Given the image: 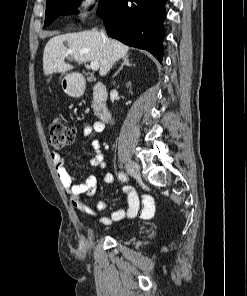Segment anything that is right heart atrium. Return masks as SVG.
<instances>
[{
	"label": "right heart atrium",
	"instance_id": "1",
	"mask_svg": "<svg viewBox=\"0 0 247 296\" xmlns=\"http://www.w3.org/2000/svg\"><path fill=\"white\" fill-rule=\"evenodd\" d=\"M98 0H75L73 16L79 20H85L96 10Z\"/></svg>",
	"mask_w": 247,
	"mask_h": 296
}]
</instances>
